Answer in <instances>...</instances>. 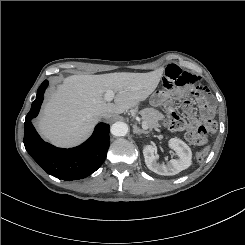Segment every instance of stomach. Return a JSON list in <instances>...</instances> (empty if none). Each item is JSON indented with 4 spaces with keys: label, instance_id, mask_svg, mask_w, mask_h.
Instances as JSON below:
<instances>
[{
    "label": "stomach",
    "instance_id": "obj_1",
    "mask_svg": "<svg viewBox=\"0 0 245 245\" xmlns=\"http://www.w3.org/2000/svg\"><path fill=\"white\" fill-rule=\"evenodd\" d=\"M169 98V94L164 89H157L149 99V103L154 107L162 106Z\"/></svg>",
    "mask_w": 245,
    "mask_h": 245
}]
</instances>
